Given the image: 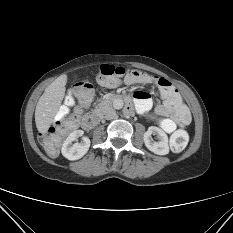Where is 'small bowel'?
<instances>
[{"instance_id":"obj_1","label":"small bowel","mask_w":233,"mask_h":233,"mask_svg":"<svg viewBox=\"0 0 233 233\" xmlns=\"http://www.w3.org/2000/svg\"><path fill=\"white\" fill-rule=\"evenodd\" d=\"M157 77L152 75H145L134 82L126 81V84L132 85L137 83H154L156 84ZM159 102L155 106L154 110L149 114V118L158 122L159 126L166 133L174 132L177 127H184L189 124L191 117L188 108L183 104L180 96L179 108L171 105L170 101L163 97L159 91ZM136 109L141 114H146L153 106V101L150 95L143 91H137L134 93ZM91 99L81 104L82 108L87 109L90 106ZM179 109L181 118L176 119L174 113Z\"/></svg>"}]
</instances>
